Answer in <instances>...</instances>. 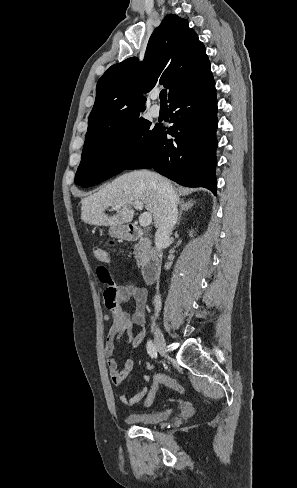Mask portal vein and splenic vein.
I'll return each mask as SVG.
<instances>
[{"mask_svg":"<svg viewBox=\"0 0 297 488\" xmlns=\"http://www.w3.org/2000/svg\"><path fill=\"white\" fill-rule=\"evenodd\" d=\"M121 207V205H115L114 206V209L115 210H118L119 208ZM133 207L136 209V210H142L144 205L142 202L140 201H135L133 202ZM152 222V216H151V213L149 212H144L143 214H141V216L139 217V223L141 226L143 227H146V226H149Z\"/></svg>","mask_w":297,"mask_h":488,"instance_id":"18ae733b","label":"portal vein and splenic vein"}]
</instances>
